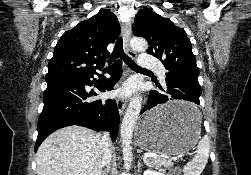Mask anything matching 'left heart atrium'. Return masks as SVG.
I'll list each match as a JSON object with an SVG mask.
<instances>
[{
	"mask_svg": "<svg viewBox=\"0 0 251 175\" xmlns=\"http://www.w3.org/2000/svg\"><path fill=\"white\" fill-rule=\"evenodd\" d=\"M133 89H134L133 85H126L121 89V92L130 93L131 91H133Z\"/></svg>",
	"mask_w": 251,
	"mask_h": 175,
	"instance_id": "39dd6f15",
	"label": "left heart atrium"
}]
</instances>
